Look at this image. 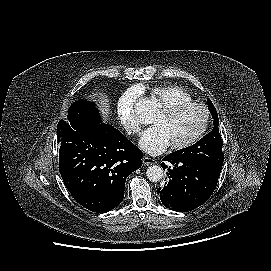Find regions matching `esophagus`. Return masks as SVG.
<instances>
[{
	"label": "esophagus",
	"mask_w": 271,
	"mask_h": 271,
	"mask_svg": "<svg viewBox=\"0 0 271 271\" xmlns=\"http://www.w3.org/2000/svg\"><path fill=\"white\" fill-rule=\"evenodd\" d=\"M142 162L144 165L149 166L156 164L157 160L150 157H143Z\"/></svg>",
	"instance_id": "34e87169"
}]
</instances>
